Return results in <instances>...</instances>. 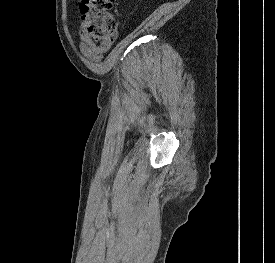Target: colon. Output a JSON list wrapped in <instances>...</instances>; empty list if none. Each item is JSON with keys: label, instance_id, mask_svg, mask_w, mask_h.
<instances>
[{"label": "colon", "instance_id": "colon-1", "mask_svg": "<svg viewBox=\"0 0 275 263\" xmlns=\"http://www.w3.org/2000/svg\"><path fill=\"white\" fill-rule=\"evenodd\" d=\"M115 0H81L82 31L93 40L112 43L118 37L116 19L111 15Z\"/></svg>", "mask_w": 275, "mask_h": 263}]
</instances>
